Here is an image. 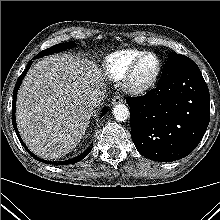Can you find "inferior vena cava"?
I'll return each instance as SVG.
<instances>
[{"label": "inferior vena cava", "mask_w": 220, "mask_h": 220, "mask_svg": "<svg viewBox=\"0 0 220 220\" xmlns=\"http://www.w3.org/2000/svg\"><path fill=\"white\" fill-rule=\"evenodd\" d=\"M106 90L104 88L95 89L89 96V103L96 107L102 103L105 98Z\"/></svg>", "instance_id": "602c4592"}]
</instances>
